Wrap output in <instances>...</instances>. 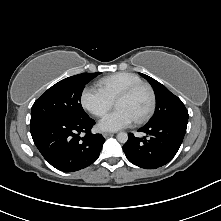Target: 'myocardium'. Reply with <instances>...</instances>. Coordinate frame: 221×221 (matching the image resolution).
Wrapping results in <instances>:
<instances>
[{
	"label": "myocardium",
	"mask_w": 221,
	"mask_h": 221,
	"mask_svg": "<svg viewBox=\"0 0 221 221\" xmlns=\"http://www.w3.org/2000/svg\"><path fill=\"white\" fill-rule=\"evenodd\" d=\"M141 88H146L149 91L150 106H149L148 110L146 111V113L142 117L135 120V123H137V124H142V123L146 122L147 120H149L155 111L156 94H155L153 87L149 83L142 81V82L133 84V85L129 86L128 88H126L115 99V104H116L117 101L130 97L132 94H134L137 90H139Z\"/></svg>",
	"instance_id": "obj_1"
}]
</instances>
